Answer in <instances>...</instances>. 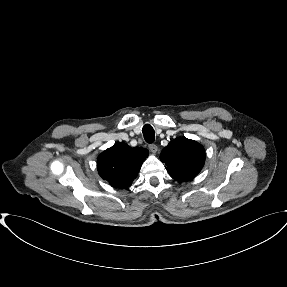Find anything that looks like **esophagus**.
Instances as JSON below:
<instances>
[{"label":"esophagus","instance_id":"1","mask_svg":"<svg viewBox=\"0 0 287 287\" xmlns=\"http://www.w3.org/2000/svg\"><path fill=\"white\" fill-rule=\"evenodd\" d=\"M149 150L152 152V153H156L158 151V147L157 145L155 144H150L149 145Z\"/></svg>","mask_w":287,"mask_h":287}]
</instances>
